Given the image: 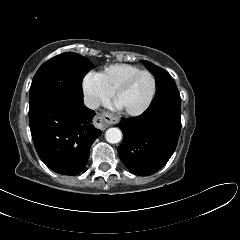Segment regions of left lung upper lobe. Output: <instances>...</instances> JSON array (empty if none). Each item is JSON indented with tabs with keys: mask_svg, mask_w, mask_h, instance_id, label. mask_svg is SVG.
Wrapping results in <instances>:
<instances>
[{
	"mask_svg": "<svg viewBox=\"0 0 240 240\" xmlns=\"http://www.w3.org/2000/svg\"><path fill=\"white\" fill-rule=\"evenodd\" d=\"M142 63L150 70L156 80V94L151 104L164 101L180 102L179 91L170 74L151 62L142 60Z\"/></svg>",
	"mask_w": 240,
	"mask_h": 240,
	"instance_id": "left-lung-upper-lobe-1",
	"label": "left lung upper lobe"
}]
</instances>
